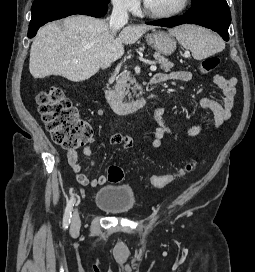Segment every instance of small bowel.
I'll list each match as a JSON object with an SVG mask.
<instances>
[{
  "label": "small bowel",
  "mask_w": 255,
  "mask_h": 272,
  "mask_svg": "<svg viewBox=\"0 0 255 272\" xmlns=\"http://www.w3.org/2000/svg\"><path fill=\"white\" fill-rule=\"evenodd\" d=\"M192 79V73L189 71L179 70L172 72H159L153 76V80L156 83H164L167 81H180L187 82ZM214 83L218 86L223 94V103L220 104L213 98L205 97L200 101L201 106L204 109L209 110L212 113L213 125L215 128L220 127L226 120H228L231 116V111L235 104V94H236V78H225L220 74H216L213 77ZM165 108L158 107L154 111V120L158 124V128L155 130L153 138L151 140V145L153 148H159L163 139L166 135H170L172 133L169 125L166 123L164 119ZM204 129L203 123H198L191 126L187 130V134L190 137L198 136ZM110 144L112 145H122L124 149H131L133 147V140L131 137L123 135V134H113L109 139ZM82 153L85 156L92 155V148L90 145H85L82 148ZM66 156L68 159V163L76 174V179L82 186H103L107 183V177L105 175H101L98 178H89L85 174L81 172V165L78 160V154L75 150H67ZM94 164L93 162L91 163Z\"/></svg>",
  "instance_id": "obj_1"
}]
</instances>
